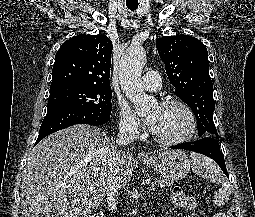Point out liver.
I'll list each match as a JSON object with an SVG mask.
<instances>
[{
	"mask_svg": "<svg viewBox=\"0 0 255 217\" xmlns=\"http://www.w3.org/2000/svg\"><path fill=\"white\" fill-rule=\"evenodd\" d=\"M113 142L100 128L78 124L44 138L30 152L22 178V217H79L104 199ZM133 159L119 154L117 189Z\"/></svg>",
	"mask_w": 255,
	"mask_h": 217,
	"instance_id": "6515ba94",
	"label": "liver"
}]
</instances>
